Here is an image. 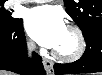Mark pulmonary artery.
Masks as SVG:
<instances>
[{
	"mask_svg": "<svg viewBox=\"0 0 102 75\" xmlns=\"http://www.w3.org/2000/svg\"><path fill=\"white\" fill-rule=\"evenodd\" d=\"M36 2H45V1H36Z\"/></svg>",
	"mask_w": 102,
	"mask_h": 75,
	"instance_id": "1",
	"label": "pulmonary artery"
}]
</instances>
